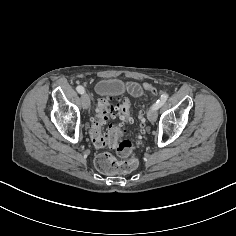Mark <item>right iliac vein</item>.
<instances>
[{"label": "right iliac vein", "instance_id": "right-iliac-vein-1", "mask_svg": "<svg viewBox=\"0 0 236 236\" xmlns=\"http://www.w3.org/2000/svg\"><path fill=\"white\" fill-rule=\"evenodd\" d=\"M81 105L84 109H88L90 107V98L88 94L84 93L81 96Z\"/></svg>", "mask_w": 236, "mask_h": 236}]
</instances>
